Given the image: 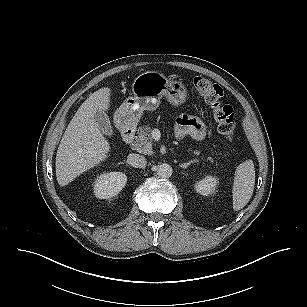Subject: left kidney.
Masks as SVG:
<instances>
[{"mask_svg":"<svg viewBox=\"0 0 307 307\" xmlns=\"http://www.w3.org/2000/svg\"><path fill=\"white\" fill-rule=\"evenodd\" d=\"M217 185L218 179L208 175L195 184V190L203 196H209L216 192Z\"/></svg>","mask_w":307,"mask_h":307,"instance_id":"1","label":"left kidney"}]
</instances>
